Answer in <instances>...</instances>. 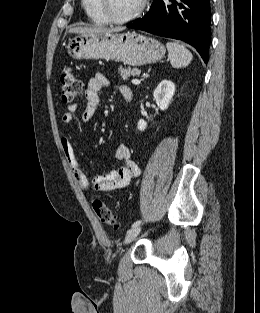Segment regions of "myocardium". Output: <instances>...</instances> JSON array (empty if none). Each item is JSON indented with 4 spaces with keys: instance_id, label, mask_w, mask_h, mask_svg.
Segmentation results:
<instances>
[{
    "instance_id": "obj_1",
    "label": "myocardium",
    "mask_w": 260,
    "mask_h": 313,
    "mask_svg": "<svg viewBox=\"0 0 260 313\" xmlns=\"http://www.w3.org/2000/svg\"><path fill=\"white\" fill-rule=\"evenodd\" d=\"M148 0H141L138 8L125 17H116L110 11L109 0H98V9L108 23L125 24L138 18L144 11Z\"/></svg>"
}]
</instances>
